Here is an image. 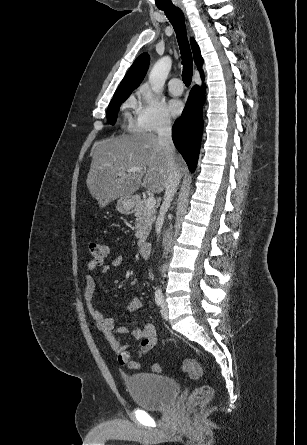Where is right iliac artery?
I'll list each match as a JSON object with an SVG mask.
<instances>
[{"label":"right iliac artery","mask_w":307,"mask_h":445,"mask_svg":"<svg viewBox=\"0 0 307 445\" xmlns=\"http://www.w3.org/2000/svg\"><path fill=\"white\" fill-rule=\"evenodd\" d=\"M163 301V294L160 290L155 292V302L157 306H161Z\"/></svg>","instance_id":"82829eb1"}]
</instances>
